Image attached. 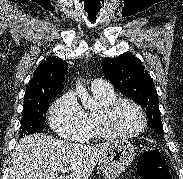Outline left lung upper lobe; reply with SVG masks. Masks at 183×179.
Masks as SVG:
<instances>
[{
  "instance_id": "obj_1",
  "label": "left lung upper lobe",
  "mask_w": 183,
  "mask_h": 179,
  "mask_svg": "<svg viewBox=\"0 0 183 179\" xmlns=\"http://www.w3.org/2000/svg\"><path fill=\"white\" fill-rule=\"evenodd\" d=\"M105 77L123 94L146 108V114L157 133L163 134L158 95L151 76L134 55L125 53L102 61Z\"/></svg>"
}]
</instances>
